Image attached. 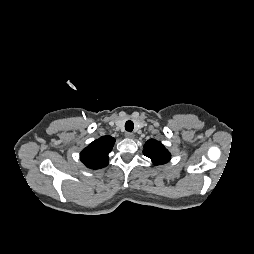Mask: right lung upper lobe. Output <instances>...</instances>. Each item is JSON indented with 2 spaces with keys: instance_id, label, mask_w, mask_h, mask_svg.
Wrapping results in <instances>:
<instances>
[{
  "instance_id": "obj_1",
  "label": "right lung upper lobe",
  "mask_w": 254,
  "mask_h": 254,
  "mask_svg": "<svg viewBox=\"0 0 254 254\" xmlns=\"http://www.w3.org/2000/svg\"><path fill=\"white\" fill-rule=\"evenodd\" d=\"M115 139L103 136L93 141L80 154L81 161L90 169H100L108 165V154L111 152Z\"/></svg>"
}]
</instances>
